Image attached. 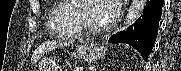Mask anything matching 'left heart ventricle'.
I'll list each match as a JSON object with an SVG mask.
<instances>
[{
	"label": "left heart ventricle",
	"instance_id": "obj_1",
	"mask_svg": "<svg viewBox=\"0 0 181 71\" xmlns=\"http://www.w3.org/2000/svg\"><path fill=\"white\" fill-rule=\"evenodd\" d=\"M82 5L81 15L85 23L93 27H100L105 24L103 18L105 1L91 0L82 3Z\"/></svg>",
	"mask_w": 181,
	"mask_h": 71
}]
</instances>
